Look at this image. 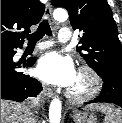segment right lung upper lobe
<instances>
[{"instance_id":"right-lung-upper-lobe-1","label":"right lung upper lobe","mask_w":122,"mask_h":123,"mask_svg":"<svg viewBox=\"0 0 122 123\" xmlns=\"http://www.w3.org/2000/svg\"><path fill=\"white\" fill-rule=\"evenodd\" d=\"M44 10L39 0H1V46L22 45L24 35L40 21Z\"/></svg>"}]
</instances>
